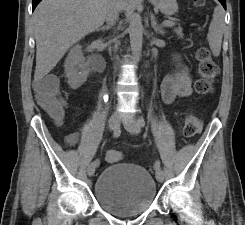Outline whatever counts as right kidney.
I'll list each match as a JSON object with an SVG mask.
<instances>
[{
  "label": "right kidney",
  "mask_w": 245,
  "mask_h": 225,
  "mask_svg": "<svg viewBox=\"0 0 245 225\" xmlns=\"http://www.w3.org/2000/svg\"><path fill=\"white\" fill-rule=\"evenodd\" d=\"M64 68L68 84L72 89L79 88L86 81L90 69L89 65L85 62L80 45L74 46L69 51Z\"/></svg>",
  "instance_id": "obj_1"
}]
</instances>
